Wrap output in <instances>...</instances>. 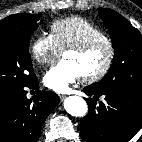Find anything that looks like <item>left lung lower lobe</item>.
Segmentation results:
<instances>
[{"label": "left lung lower lobe", "instance_id": "left-lung-lower-lobe-1", "mask_svg": "<svg viewBox=\"0 0 142 142\" xmlns=\"http://www.w3.org/2000/svg\"><path fill=\"white\" fill-rule=\"evenodd\" d=\"M88 114L81 121V131L87 142H128L142 125V92L110 89L99 91L84 88ZM105 96L106 102L96 99Z\"/></svg>", "mask_w": 142, "mask_h": 142}]
</instances>
